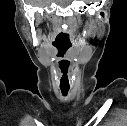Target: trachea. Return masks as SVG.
Wrapping results in <instances>:
<instances>
[{
  "mask_svg": "<svg viewBox=\"0 0 127 126\" xmlns=\"http://www.w3.org/2000/svg\"><path fill=\"white\" fill-rule=\"evenodd\" d=\"M68 91H69V88H61V92L63 96H67Z\"/></svg>",
  "mask_w": 127,
  "mask_h": 126,
  "instance_id": "3493384b",
  "label": "trachea"
}]
</instances>
